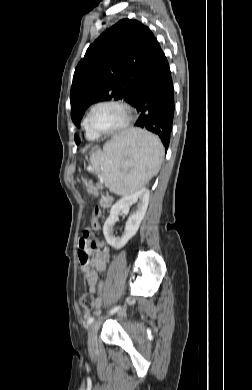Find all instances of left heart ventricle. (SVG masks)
<instances>
[{
    "mask_svg": "<svg viewBox=\"0 0 252 390\" xmlns=\"http://www.w3.org/2000/svg\"><path fill=\"white\" fill-rule=\"evenodd\" d=\"M124 119L122 110L113 105H104L95 109L91 118L92 127L107 131L118 126Z\"/></svg>",
    "mask_w": 252,
    "mask_h": 390,
    "instance_id": "b2bd125f",
    "label": "left heart ventricle"
}]
</instances>
